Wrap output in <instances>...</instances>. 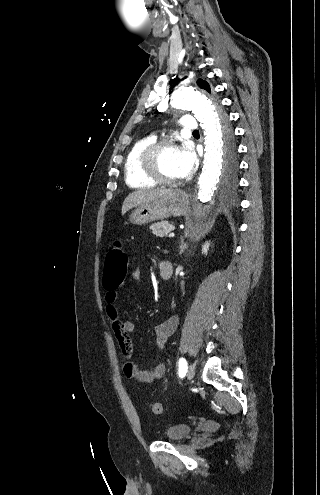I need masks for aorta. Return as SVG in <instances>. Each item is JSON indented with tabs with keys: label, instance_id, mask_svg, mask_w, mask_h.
I'll list each match as a JSON object with an SVG mask.
<instances>
[{
	"label": "aorta",
	"instance_id": "762f6f07",
	"mask_svg": "<svg viewBox=\"0 0 320 495\" xmlns=\"http://www.w3.org/2000/svg\"><path fill=\"white\" fill-rule=\"evenodd\" d=\"M171 106L192 111L200 122L205 136L204 162L196 199L189 216L191 232L212 212V196L218 185L223 156V127L217 102L200 89H178L171 97Z\"/></svg>",
	"mask_w": 320,
	"mask_h": 495
}]
</instances>
